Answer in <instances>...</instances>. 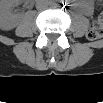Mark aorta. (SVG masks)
Instances as JSON below:
<instances>
[{
  "label": "aorta",
  "mask_w": 103,
  "mask_h": 103,
  "mask_svg": "<svg viewBox=\"0 0 103 103\" xmlns=\"http://www.w3.org/2000/svg\"><path fill=\"white\" fill-rule=\"evenodd\" d=\"M51 5L56 6L57 3L56 2H51Z\"/></svg>",
  "instance_id": "aorta-1"
}]
</instances>
